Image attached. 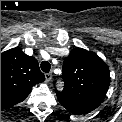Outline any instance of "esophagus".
I'll use <instances>...</instances> for the list:
<instances>
[{
    "label": "esophagus",
    "instance_id": "34e87169",
    "mask_svg": "<svg viewBox=\"0 0 122 122\" xmlns=\"http://www.w3.org/2000/svg\"><path fill=\"white\" fill-rule=\"evenodd\" d=\"M45 79H46V82H50L51 79H52V74H51V73H47V74L45 75Z\"/></svg>",
    "mask_w": 122,
    "mask_h": 122
}]
</instances>
